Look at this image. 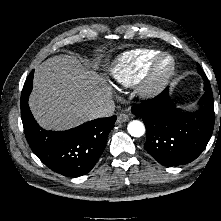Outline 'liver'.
<instances>
[{
    "label": "liver",
    "mask_w": 221,
    "mask_h": 221,
    "mask_svg": "<svg viewBox=\"0 0 221 221\" xmlns=\"http://www.w3.org/2000/svg\"><path fill=\"white\" fill-rule=\"evenodd\" d=\"M111 94L104 80L77 58L58 55L36 68L29 105L42 127L65 130L91 120L92 111Z\"/></svg>",
    "instance_id": "liver-1"
}]
</instances>
